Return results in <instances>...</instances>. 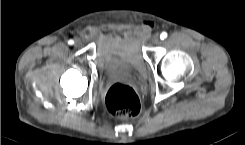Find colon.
<instances>
[{
  "instance_id": "obj_1",
  "label": "colon",
  "mask_w": 245,
  "mask_h": 145,
  "mask_svg": "<svg viewBox=\"0 0 245 145\" xmlns=\"http://www.w3.org/2000/svg\"><path fill=\"white\" fill-rule=\"evenodd\" d=\"M106 105L118 117L135 116L140 111V101L134 88L120 82L113 83L108 89Z\"/></svg>"
}]
</instances>
